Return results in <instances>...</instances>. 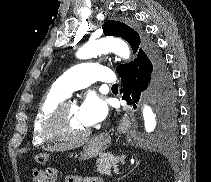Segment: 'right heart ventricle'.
<instances>
[{
  "label": "right heart ventricle",
  "mask_w": 211,
  "mask_h": 182,
  "mask_svg": "<svg viewBox=\"0 0 211 182\" xmlns=\"http://www.w3.org/2000/svg\"><path fill=\"white\" fill-rule=\"evenodd\" d=\"M66 98L65 94L53 86L40 101L32 122V143L35 146L48 142L43 135L45 122L57 105Z\"/></svg>",
  "instance_id": "right-heart-ventricle-1"
}]
</instances>
